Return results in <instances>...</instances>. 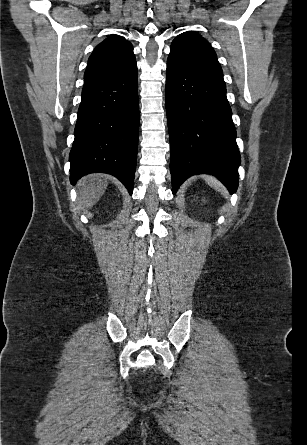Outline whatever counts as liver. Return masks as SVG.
<instances>
[{
	"mask_svg": "<svg viewBox=\"0 0 307 445\" xmlns=\"http://www.w3.org/2000/svg\"><path fill=\"white\" fill-rule=\"evenodd\" d=\"M107 182L103 174H88L78 182V200L84 208H91L105 192Z\"/></svg>",
	"mask_w": 307,
	"mask_h": 445,
	"instance_id": "6515ba94",
	"label": "liver"
}]
</instances>
